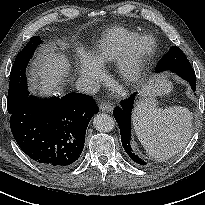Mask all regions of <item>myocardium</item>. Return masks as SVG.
Instances as JSON below:
<instances>
[{
	"label": "myocardium",
	"instance_id": "obj_1",
	"mask_svg": "<svg viewBox=\"0 0 205 205\" xmlns=\"http://www.w3.org/2000/svg\"><path fill=\"white\" fill-rule=\"evenodd\" d=\"M152 37L142 34L135 38L130 51L117 59L118 75L125 84H134L142 79L144 61L151 52Z\"/></svg>",
	"mask_w": 205,
	"mask_h": 205
}]
</instances>
